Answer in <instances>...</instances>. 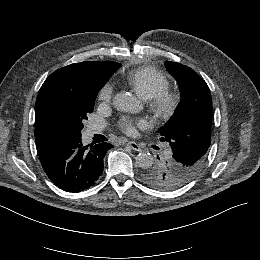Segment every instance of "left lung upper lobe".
<instances>
[{
  "label": "left lung upper lobe",
  "instance_id": "left-lung-upper-lobe-1",
  "mask_svg": "<svg viewBox=\"0 0 260 260\" xmlns=\"http://www.w3.org/2000/svg\"><path fill=\"white\" fill-rule=\"evenodd\" d=\"M169 73L177 80L181 101L159 133L169 142L172 155L159 157L142 172L143 180L162 190H173L190 181L207 159L211 142L212 99L206 82L191 68L167 61Z\"/></svg>",
  "mask_w": 260,
  "mask_h": 260
}]
</instances>
